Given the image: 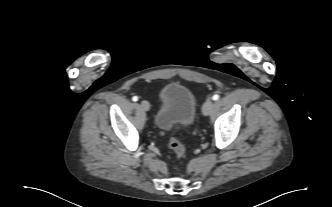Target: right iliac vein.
I'll return each instance as SVG.
<instances>
[{
    "label": "right iliac vein",
    "instance_id": "obj_1",
    "mask_svg": "<svg viewBox=\"0 0 332 207\" xmlns=\"http://www.w3.org/2000/svg\"><path fill=\"white\" fill-rule=\"evenodd\" d=\"M141 107L143 108V110L148 111L150 109V104L144 100L141 102Z\"/></svg>",
    "mask_w": 332,
    "mask_h": 207
}]
</instances>
